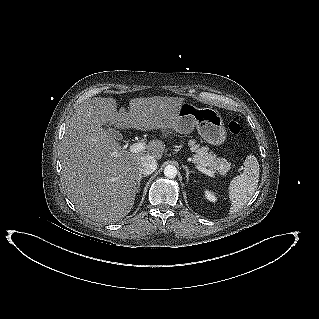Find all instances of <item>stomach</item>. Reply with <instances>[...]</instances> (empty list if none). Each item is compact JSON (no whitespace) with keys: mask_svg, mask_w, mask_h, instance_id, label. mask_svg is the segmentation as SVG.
Listing matches in <instances>:
<instances>
[{"mask_svg":"<svg viewBox=\"0 0 319 319\" xmlns=\"http://www.w3.org/2000/svg\"><path fill=\"white\" fill-rule=\"evenodd\" d=\"M195 127L199 135L212 145L222 144L226 139V129L218 111L183 102L178 109L175 131L190 134Z\"/></svg>","mask_w":319,"mask_h":319,"instance_id":"0dacf381","label":"stomach"}]
</instances>
